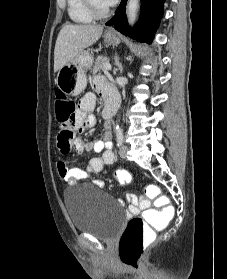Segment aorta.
<instances>
[{"mask_svg":"<svg viewBox=\"0 0 227 279\" xmlns=\"http://www.w3.org/2000/svg\"><path fill=\"white\" fill-rule=\"evenodd\" d=\"M140 0H128L127 4V18L130 25H133L136 19L137 10Z\"/></svg>","mask_w":227,"mask_h":279,"instance_id":"obj_1","label":"aorta"}]
</instances>
